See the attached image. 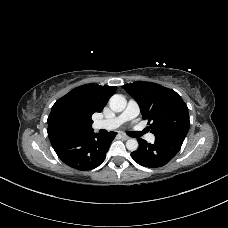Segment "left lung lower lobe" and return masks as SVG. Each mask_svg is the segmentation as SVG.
I'll return each mask as SVG.
<instances>
[{
    "mask_svg": "<svg viewBox=\"0 0 228 228\" xmlns=\"http://www.w3.org/2000/svg\"><path fill=\"white\" fill-rule=\"evenodd\" d=\"M183 141L184 138L178 136L155 137L154 144L139 139V147L131 153V157L144 167H161L179 152Z\"/></svg>",
    "mask_w": 228,
    "mask_h": 228,
    "instance_id": "1",
    "label": "left lung lower lobe"
}]
</instances>
